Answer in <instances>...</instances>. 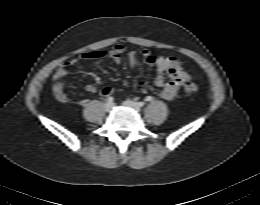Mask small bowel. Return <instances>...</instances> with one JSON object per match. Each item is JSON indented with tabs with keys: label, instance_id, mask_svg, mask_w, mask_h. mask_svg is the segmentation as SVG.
Instances as JSON below:
<instances>
[{
	"label": "small bowel",
	"instance_id": "1",
	"mask_svg": "<svg viewBox=\"0 0 260 205\" xmlns=\"http://www.w3.org/2000/svg\"><path fill=\"white\" fill-rule=\"evenodd\" d=\"M125 51L126 47L122 44H118L108 53L94 51L84 54L82 58L84 60H92L107 56L112 61L119 63ZM141 55L143 59L156 71L154 83L158 88H160L162 98L165 100L174 99L181 85L189 79L188 74L183 70L177 58L170 55L156 56L149 50H143ZM75 63L76 60L63 62L53 75L52 93L56 100L61 103H67L69 101L68 95L64 90V85L70 73V68ZM128 63L131 68L139 65V55L136 51L129 52ZM165 76H167L168 79H166ZM85 89L90 93H95L97 91V87L94 84H87ZM140 89L142 92H146L147 85L145 82L140 83ZM112 93L113 90L110 87H104L101 90V94L105 97L110 96ZM81 103H84V101Z\"/></svg>",
	"mask_w": 260,
	"mask_h": 205
}]
</instances>
